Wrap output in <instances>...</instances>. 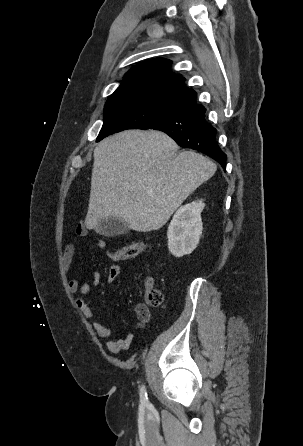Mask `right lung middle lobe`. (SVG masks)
Wrapping results in <instances>:
<instances>
[{"mask_svg":"<svg viewBox=\"0 0 303 446\" xmlns=\"http://www.w3.org/2000/svg\"><path fill=\"white\" fill-rule=\"evenodd\" d=\"M186 106V100H173L165 110H152L142 106H105L104 124L97 137H104L126 129H138L146 123Z\"/></svg>","mask_w":303,"mask_h":446,"instance_id":"obj_1","label":"right lung middle lobe"}]
</instances>
